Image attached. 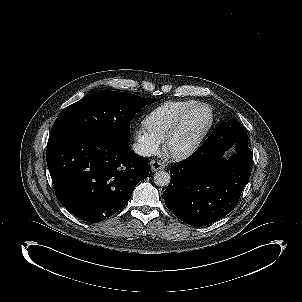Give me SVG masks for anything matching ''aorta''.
I'll list each match as a JSON object with an SVG mask.
<instances>
[{"label":"aorta","mask_w":302,"mask_h":302,"mask_svg":"<svg viewBox=\"0 0 302 302\" xmlns=\"http://www.w3.org/2000/svg\"><path fill=\"white\" fill-rule=\"evenodd\" d=\"M154 183L159 187L168 186L170 183V174L166 171H158L154 175Z\"/></svg>","instance_id":"obj_1"}]
</instances>
